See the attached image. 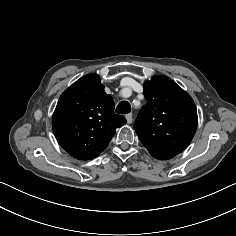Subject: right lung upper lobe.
<instances>
[{
    "mask_svg": "<svg viewBox=\"0 0 236 236\" xmlns=\"http://www.w3.org/2000/svg\"><path fill=\"white\" fill-rule=\"evenodd\" d=\"M114 101L97 74L86 75L62 93L52 118L54 135L72 157L89 160L109 144L116 128L126 123L114 113Z\"/></svg>",
    "mask_w": 236,
    "mask_h": 236,
    "instance_id": "obj_1",
    "label": "right lung upper lobe"
}]
</instances>
